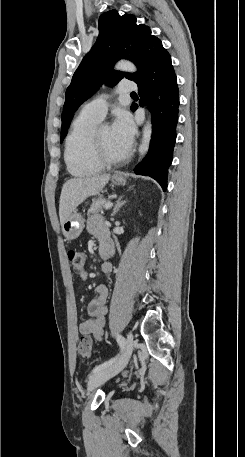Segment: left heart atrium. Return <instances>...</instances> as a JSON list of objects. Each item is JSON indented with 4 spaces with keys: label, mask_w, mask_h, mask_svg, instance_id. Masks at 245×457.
<instances>
[{
    "label": "left heart atrium",
    "mask_w": 245,
    "mask_h": 457,
    "mask_svg": "<svg viewBox=\"0 0 245 457\" xmlns=\"http://www.w3.org/2000/svg\"><path fill=\"white\" fill-rule=\"evenodd\" d=\"M115 139L128 149L134 137V125L130 115L125 111H119L111 128Z\"/></svg>",
    "instance_id": "1"
}]
</instances>
